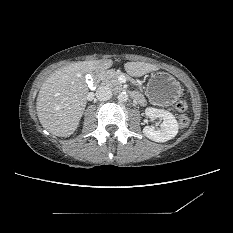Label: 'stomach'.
Returning <instances> with one entry per match:
<instances>
[{"instance_id": "0dacf381", "label": "stomach", "mask_w": 233, "mask_h": 233, "mask_svg": "<svg viewBox=\"0 0 233 233\" xmlns=\"http://www.w3.org/2000/svg\"><path fill=\"white\" fill-rule=\"evenodd\" d=\"M181 94L180 83L172 75L164 71L151 74L147 84V96L150 100L170 105L177 101Z\"/></svg>"}]
</instances>
